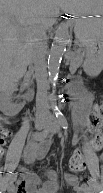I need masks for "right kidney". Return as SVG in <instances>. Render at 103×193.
Wrapping results in <instances>:
<instances>
[{
    "instance_id": "1",
    "label": "right kidney",
    "mask_w": 103,
    "mask_h": 193,
    "mask_svg": "<svg viewBox=\"0 0 103 193\" xmlns=\"http://www.w3.org/2000/svg\"><path fill=\"white\" fill-rule=\"evenodd\" d=\"M17 91V81L9 82L7 80L1 81L0 87V110L6 116H15L17 115L24 104H14L13 94Z\"/></svg>"
}]
</instances>
